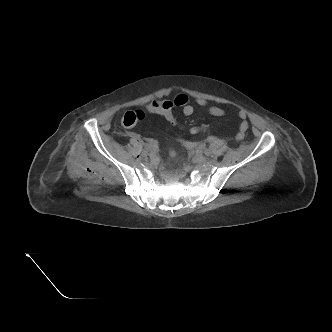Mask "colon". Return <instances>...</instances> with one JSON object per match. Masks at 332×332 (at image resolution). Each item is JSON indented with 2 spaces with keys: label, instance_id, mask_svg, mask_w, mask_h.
Here are the masks:
<instances>
[{
  "label": "colon",
  "instance_id": "5ec220e1",
  "mask_svg": "<svg viewBox=\"0 0 332 332\" xmlns=\"http://www.w3.org/2000/svg\"><path fill=\"white\" fill-rule=\"evenodd\" d=\"M148 112L150 113H160L161 116L167 120L171 125L177 128H184V125L180 122L176 114L174 113V108L168 102L162 100H156L150 103L147 107ZM144 118V113L140 110H132L127 111L122 117V124L125 127H133L139 121ZM208 130V126L206 124L192 126L189 128L190 133L199 134L206 132Z\"/></svg>",
  "mask_w": 332,
  "mask_h": 332
}]
</instances>
